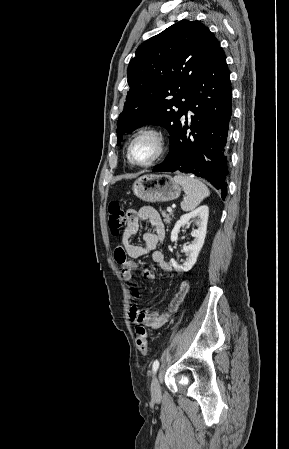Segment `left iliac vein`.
Returning a JSON list of instances; mask_svg holds the SVG:
<instances>
[{
  "label": "left iliac vein",
  "instance_id": "obj_1",
  "mask_svg": "<svg viewBox=\"0 0 289 449\" xmlns=\"http://www.w3.org/2000/svg\"><path fill=\"white\" fill-rule=\"evenodd\" d=\"M151 393L154 398H157L161 394V387L157 376H154L151 382Z\"/></svg>",
  "mask_w": 289,
  "mask_h": 449
}]
</instances>
